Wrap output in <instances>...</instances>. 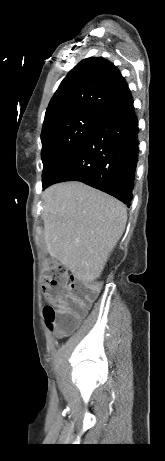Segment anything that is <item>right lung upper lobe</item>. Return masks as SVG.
<instances>
[{"mask_svg":"<svg viewBox=\"0 0 165 461\" xmlns=\"http://www.w3.org/2000/svg\"><path fill=\"white\" fill-rule=\"evenodd\" d=\"M133 103L119 69L102 57L80 61L63 79L46 110L42 130L57 119L90 115L104 119Z\"/></svg>","mask_w":165,"mask_h":461,"instance_id":"right-lung-upper-lobe-1","label":"right lung upper lobe"}]
</instances>
